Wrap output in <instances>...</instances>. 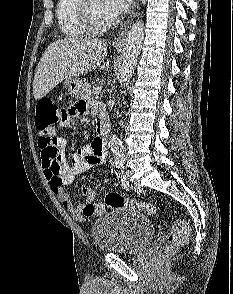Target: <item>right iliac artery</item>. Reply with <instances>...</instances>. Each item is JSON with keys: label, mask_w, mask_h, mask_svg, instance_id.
Listing matches in <instances>:
<instances>
[{"label": "right iliac artery", "mask_w": 233, "mask_h": 294, "mask_svg": "<svg viewBox=\"0 0 233 294\" xmlns=\"http://www.w3.org/2000/svg\"><path fill=\"white\" fill-rule=\"evenodd\" d=\"M115 164H116V167H117V168H120V167H122V165H123L122 163H115Z\"/></svg>", "instance_id": "1"}]
</instances>
